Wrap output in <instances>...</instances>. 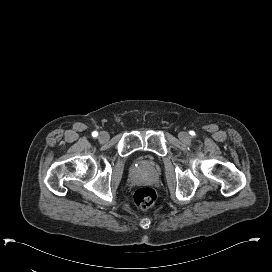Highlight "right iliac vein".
Here are the masks:
<instances>
[{"instance_id":"obj_1","label":"right iliac vein","mask_w":272,"mask_h":272,"mask_svg":"<svg viewBox=\"0 0 272 272\" xmlns=\"http://www.w3.org/2000/svg\"><path fill=\"white\" fill-rule=\"evenodd\" d=\"M109 139V135L107 132L103 131L99 134V140L105 142Z\"/></svg>"}]
</instances>
